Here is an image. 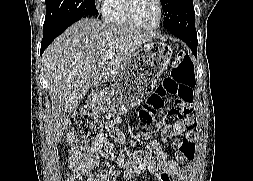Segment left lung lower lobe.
<instances>
[{
    "label": "left lung lower lobe",
    "instance_id": "0a47b994",
    "mask_svg": "<svg viewBox=\"0 0 253 181\" xmlns=\"http://www.w3.org/2000/svg\"><path fill=\"white\" fill-rule=\"evenodd\" d=\"M170 33L182 39L192 50L193 54L197 56V35H191L176 31H170Z\"/></svg>",
    "mask_w": 253,
    "mask_h": 181
}]
</instances>
